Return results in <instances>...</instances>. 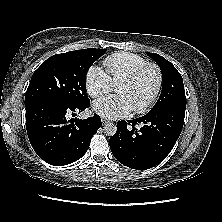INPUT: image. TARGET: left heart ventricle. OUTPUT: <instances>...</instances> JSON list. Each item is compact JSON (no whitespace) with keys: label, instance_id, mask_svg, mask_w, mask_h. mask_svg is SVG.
Masks as SVG:
<instances>
[{"label":"left heart ventricle","instance_id":"1","mask_svg":"<svg viewBox=\"0 0 222 222\" xmlns=\"http://www.w3.org/2000/svg\"><path fill=\"white\" fill-rule=\"evenodd\" d=\"M157 83L156 72L147 69L131 84L119 85L117 92L124 95L132 109L142 106L153 94Z\"/></svg>","mask_w":222,"mask_h":222}]
</instances>
